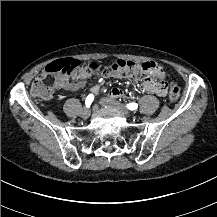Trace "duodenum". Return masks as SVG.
I'll use <instances>...</instances> for the list:
<instances>
[{
  "label": "duodenum",
  "mask_w": 217,
  "mask_h": 217,
  "mask_svg": "<svg viewBox=\"0 0 217 217\" xmlns=\"http://www.w3.org/2000/svg\"><path fill=\"white\" fill-rule=\"evenodd\" d=\"M94 90H95V91H98V90H99V87H98V86H95V87H94Z\"/></svg>",
  "instance_id": "410a0bca"
}]
</instances>
